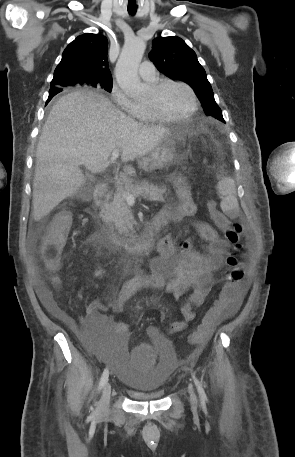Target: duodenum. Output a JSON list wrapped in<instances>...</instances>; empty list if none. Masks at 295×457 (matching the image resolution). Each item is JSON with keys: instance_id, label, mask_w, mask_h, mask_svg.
<instances>
[{"instance_id": "duodenum-1", "label": "duodenum", "mask_w": 295, "mask_h": 457, "mask_svg": "<svg viewBox=\"0 0 295 457\" xmlns=\"http://www.w3.org/2000/svg\"><path fill=\"white\" fill-rule=\"evenodd\" d=\"M111 198L110 191L100 187L95 191V204L99 213L94 215L97 227V236L103 241L108 250L116 253L119 251L139 252L148 249L162 227V221L159 217L148 222L145 231L139 238H121L112 233L105 223L101 211L104 210Z\"/></svg>"}]
</instances>
